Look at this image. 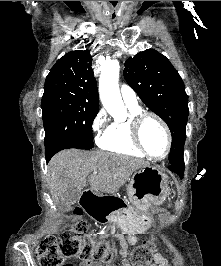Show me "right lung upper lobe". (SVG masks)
Instances as JSON below:
<instances>
[{"label": "right lung upper lobe", "mask_w": 221, "mask_h": 266, "mask_svg": "<svg viewBox=\"0 0 221 266\" xmlns=\"http://www.w3.org/2000/svg\"><path fill=\"white\" fill-rule=\"evenodd\" d=\"M88 50L71 51L51 68L44 85V93L63 92L74 95L93 109H99L98 89Z\"/></svg>", "instance_id": "obj_1"}]
</instances>
